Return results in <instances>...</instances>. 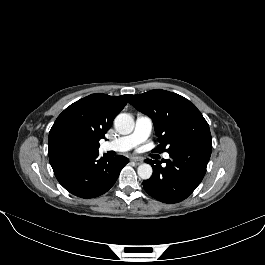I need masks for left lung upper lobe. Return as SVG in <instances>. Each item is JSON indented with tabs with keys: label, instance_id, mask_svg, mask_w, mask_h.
<instances>
[{
	"label": "left lung upper lobe",
	"instance_id": "obj_1",
	"mask_svg": "<svg viewBox=\"0 0 265 265\" xmlns=\"http://www.w3.org/2000/svg\"><path fill=\"white\" fill-rule=\"evenodd\" d=\"M129 103L152 118L158 136V151L168 153L187 144L211 139L209 125L188 99L155 89L133 95Z\"/></svg>",
	"mask_w": 265,
	"mask_h": 265
}]
</instances>
